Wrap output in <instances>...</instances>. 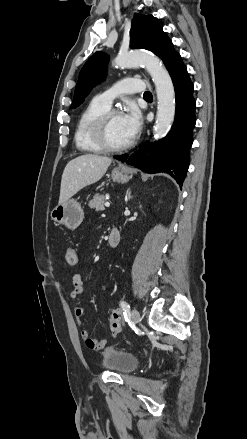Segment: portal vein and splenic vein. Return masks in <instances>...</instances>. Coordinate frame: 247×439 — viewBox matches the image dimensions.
I'll use <instances>...</instances> for the list:
<instances>
[{"label":"portal vein and splenic vein","instance_id":"18ae733b","mask_svg":"<svg viewBox=\"0 0 247 439\" xmlns=\"http://www.w3.org/2000/svg\"><path fill=\"white\" fill-rule=\"evenodd\" d=\"M104 205H105V207H109L110 203L109 202H105Z\"/></svg>","mask_w":247,"mask_h":439}]
</instances>
